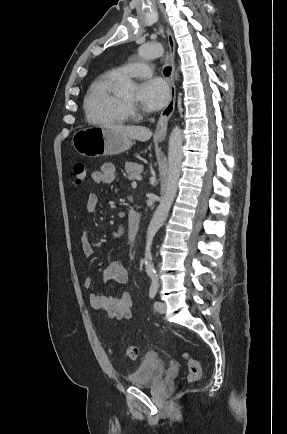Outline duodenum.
Masks as SVG:
<instances>
[{
  "mask_svg": "<svg viewBox=\"0 0 287 434\" xmlns=\"http://www.w3.org/2000/svg\"><path fill=\"white\" fill-rule=\"evenodd\" d=\"M140 227V217L137 211L130 210L128 213L127 221V234L128 237L134 241L138 235Z\"/></svg>",
  "mask_w": 287,
  "mask_h": 434,
  "instance_id": "1",
  "label": "duodenum"
}]
</instances>
